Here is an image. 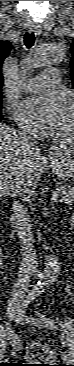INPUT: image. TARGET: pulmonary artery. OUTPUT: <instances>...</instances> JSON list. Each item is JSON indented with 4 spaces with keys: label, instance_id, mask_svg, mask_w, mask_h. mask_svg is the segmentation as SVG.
<instances>
[{
    "label": "pulmonary artery",
    "instance_id": "pulmonary-artery-1",
    "mask_svg": "<svg viewBox=\"0 0 74 366\" xmlns=\"http://www.w3.org/2000/svg\"><path fill=\"white\" fill-rule=\"evenodd\" d=\"M60 82V72L57 69L46 70L42 74L31 78L25 84L26 90L38 93L57 86Z\"/></svg>",
    "mask_w": 74,
    "mask_h": 366
}]
</instances>
